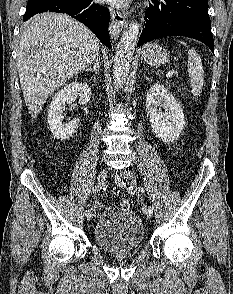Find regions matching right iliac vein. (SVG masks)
Masks as SVG:
<instances>
[{
    "label": "right iliac vein",
    "instance_id": "1",
    "mask_svg": "<svg viewBox=\"0 0 233 294\" xmlns=\"http://www.w3.org/2000/svg\"><path fill=\"white\" fill-rule=\"evenodd\" d=\"M107 173L108 171L103 169L99 172L98 177H97V182H98V186L101 188L102 186H104L106 178H107ZM96 210L95 208L91 209L90 214L87 216L88 219H91L94 214H95Z\"/></svg>",
    "mask_w": 233,
    "mask_h": 294
}]
</instances>
